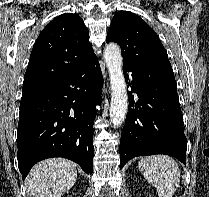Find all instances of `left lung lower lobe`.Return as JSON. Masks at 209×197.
Listing matches in <instances>:
<instances>
[{"label": "left lung lower lobe", "mask_w": 209, "mask_h": 197, "mask_svg": "<svg viewBox=\"0 0 209 197\" xmlns=\"http://www.w3.org/2000/svg\"><path fill=\"white\" fill-rule=\"evenodd\" d=\"M123 71L126 80V72H132L133 81L119 146L120 169L133 157L153 154L171 155L185 164L187 139L175 79L149 77L124 64Z\"/></svg>", "instance_id": "left-lung-lower-lobe-1"}]
</instances>
